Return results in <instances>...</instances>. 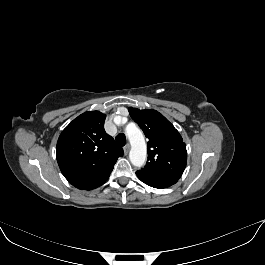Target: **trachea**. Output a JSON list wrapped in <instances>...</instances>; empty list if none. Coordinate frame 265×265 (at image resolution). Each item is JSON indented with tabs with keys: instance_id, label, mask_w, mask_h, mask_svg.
I'll return each instance as SVG.
<instances>
[{
	"instance_id": "trachea-1",
	"label": "trachea",
	"mask_w": 265,
	"mask_h": 265,
	"mask_svg": "<svg viewBox=\"0 0 265 265\" xmlns=\"http://www.w3.org/2000/svg\"><path fill=\"white\" fill-rule=\"evenodd\" d=\"M116 143L120 146H124L126 144V137L124 134H119L116 136Z\"/></svg>"
}]
</instances>
